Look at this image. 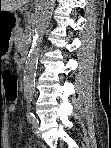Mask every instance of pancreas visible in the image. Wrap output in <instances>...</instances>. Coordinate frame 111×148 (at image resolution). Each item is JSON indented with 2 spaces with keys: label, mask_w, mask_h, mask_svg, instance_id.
Returning a JSON list of instances; mask_svg holds the SVG:
<instances>
[{
  "label": "pancreas",
  "mask_w": 111,
  "mask_h": 148,
  "mask_svg": "<svg viewBox=\"0 0 111 148\" xmlns=\"http://www.w3.org/2000/svg\"><path fill=\"white\" fill-rule=\"evenodd\" d=\"M15 40H17V41H20V40L24 41L25 40V34L23 32H21L20 30H17L15 32Z\"/></svg>",
  "instance_id": "1"
}]
</instances>
